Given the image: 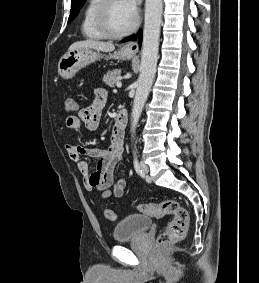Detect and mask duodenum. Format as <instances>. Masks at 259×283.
Masks as SVG:
<instances>
[{"mask_svg": "<svg viewBox=\"0 0 259 283\" xmlns=\"http://www.w3.org/2000/svg\"><path fill=\"white\" fill-rule=\"evenodd\" d=\"M128 123V114L126 110L121 109L115 119L114 128L117 132H124Z\"/></svg>", "mask_w": 259, "mask_h": 283, "instance_id": "1", "label": "duodenum"}]
</instances>
